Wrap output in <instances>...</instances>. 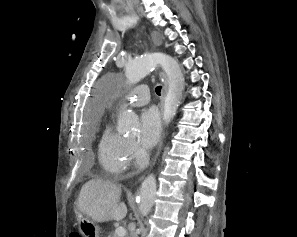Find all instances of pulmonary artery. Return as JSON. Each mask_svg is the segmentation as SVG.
<instances>
[{
  "label": "pulmonary artery",
  "instance_id": "pulmonary-artery-1",
  "mask_svg": "<svg viewBox=\"0 0 297 237\" xmlns=\"http://www.w3.org/2000/svg\"><path fill=\"white\" fill-rule=\"evenodd\" d=\"M149 88L147 86H137L130 94V103L135 106L145 105L150 101Z\"/></svg>",
  "mask_w": 297,
  "mask_h": 237
}]
</instances>
